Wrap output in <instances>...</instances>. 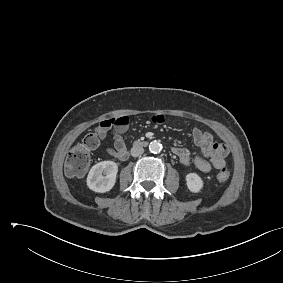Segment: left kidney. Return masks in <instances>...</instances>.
<instances>
[{
	"instance_id": "left-kidney-1",
	"label": "left kidney",
	"mask_w": 283,
	"mask_h": 283,
	"mask_svg": "<svg viewBox=\"0 0 283 283\" xmlns=\"http://www.w3.org/2000/svg\"><path fill=\"white\" fill-rule=\"evenodd\" d=\"M186 184L193 193H198L203 188V180L197 173H188L186 175Z\"/></svg>"
}]
</instances>
